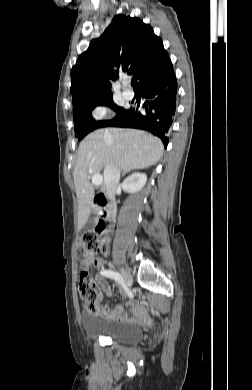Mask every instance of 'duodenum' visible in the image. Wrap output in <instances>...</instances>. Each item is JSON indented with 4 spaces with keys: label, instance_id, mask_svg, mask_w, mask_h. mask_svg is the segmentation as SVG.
<instances>
[{
    "label": "duodenum",
    "instance_id": "duodenum-1",
    "mask_svg": "<svg viewBox=\"0 0 252 390\" xmlns=\"http://www.w3.org/2000/svg\"><path fill=\"white\" fill-rule=\"evenodd\" d=\"M94 203L102 210V216L96 225V231L98 233H107L114 222L113 210L109 200L105 194L97 193L94 196Z\"/></svg>",
    "mask_w": 252,
    "mask_h": 390
}]
</instances>
